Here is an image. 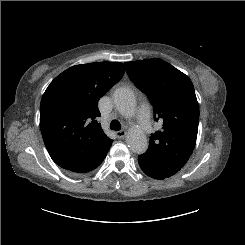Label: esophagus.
<instances>
[{"instance_id": "1", "label": "esophagus", "mask_w": 245, "mask_h": 245, "mask_svg": "<svg viewBox=\"0 0 245 245\" xmlns=\"http://www.w3.org/2000/svg\"><path fill=\"white\" fill-rule=\"evenodd\" d=\"M126 131H124V130H121V131H117L116 132V135H117V138H124L125 136H126Z\"/></svg>"}]
</instances>
